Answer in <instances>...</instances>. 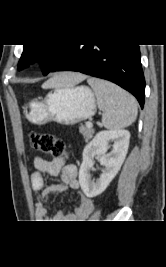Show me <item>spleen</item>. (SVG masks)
I'll list each match as a JSON object with an SVG mask.
<instances>
[{
	"instance_id": "spleen-1",
	"label": "spleen",
	"mask_w": 166,
	"mask_h": 267,
	"mask_svg": "<svg viewBox=\"0 0 166 267\" xmlns=\"http://www.w3.org/2000/svg\"><path fill=\"white\" fill-rule=\"evenodd\" d=\"M100 110L102 123L108 129H120L131 125L137 117L135 98L117 85L97 78H89Z\"/></svg>"
}]
</instances>
